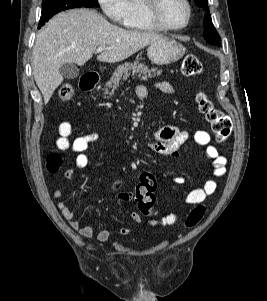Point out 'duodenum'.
Listing matches in <instances>:
<instances>
[{"label":"duodenum","instance_id":"duodenum-1","mask_svg":"<svg viewBox=\"0 0 267 301\" xmlns=\"http://www.w3.org/2000/svg\"><path fill=\"white\" fill-rule=\"evenodd\" d=\"M98 82H99V77L97 75H85L84 77H82L80 81V88L84 91H92L95 89Z\"/></svg>","mask_w":267,"mask_h":301}]
</instances>
